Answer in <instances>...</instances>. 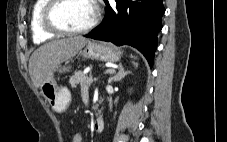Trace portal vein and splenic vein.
I'll use <instances>...</instances> for the list:
<instances>
[{"label": "portal vein and splenic vein", "instance_id": "1", "mask_svg": "<svg viewBox=\"0 0 227 142\" xmlns=\"http://www.w3.org/2000/svg\"><path fill=\"white\" fill-rule=\"evenodd\" d=\"M113 72V70H108L106 73H112ZM98 80V78H93V77H88L87 78V82H86V84L85 85H83L82 87L84 88V87H88V86H90L93 82H96Z\"/></svg>", "mask_w": 227, "mask_h": 142}]
</instances>
